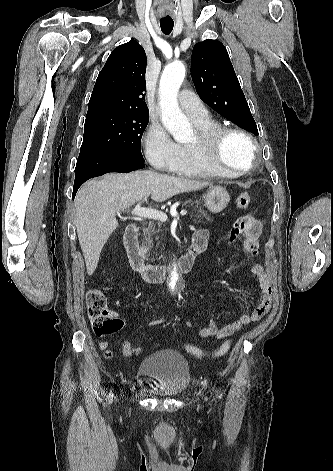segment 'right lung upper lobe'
<instances>
[{
    "mask_svg": "<svg viewBox=\"0 0 333 471\" xmlns=\"http://www.w3.org/2000/svg\"><path fill=\"white\" fill-rule=\"evenodd\" d=\"M147 57L135 40L115 48L96 80L86 117L108 112L149 114L145 102Z\"/></svg>",
    "mask_w": 333,
    "mask_h": 471,
    "instance_id": "obj_1",
    "label": "right lung upper lobe"
}]
</instances>
